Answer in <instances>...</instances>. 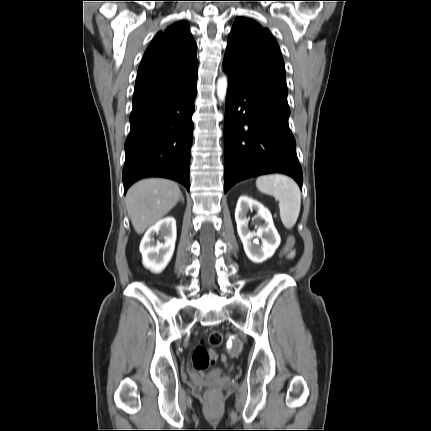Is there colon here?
<instances>
[{
	"label": "colon",
	"mask_w": 431,
	"mask_h": 431,
	"mask_svg": "<svg viewBox=\"0 0 431 431\" xmlns=\"http://www.w3.org/2000/svg\"><path fill=\"white\" fill-rule=\"evenodd\" d=\"M294 243L295 238L290 236L287 239L285 249L278 251L277 260L280 261L282 258H285V255H288L287 251L294 246ZM206 341L209 347L200 344L193 353V365L197 370H204L209 364L210 366H216L219 357L213 348L219 347L223 343V335L218 330H211L206 337ZM220 360L222 363H226V354H222ZM216 394L217 392L214 389L210 390L208 393L210 397H214Z\"/></svg>",
	"instance_id": "colon-1"
}]
</instances>
